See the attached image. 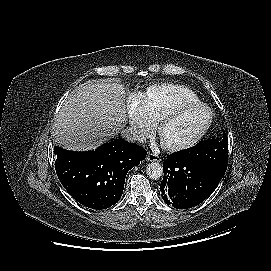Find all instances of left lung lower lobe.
Instances as JSON below:
<instances>
[{
    "mask_svg": "<svg viewBox=\"0 0 271 271\" xmlns=\"http://www.w3.org/2000/svg\"><path fill=\"white\" fill-rule=\"evenodd\" d=\"M163 170L161 196L166 204L178 209L191 208L203 202L225 173L179 151L167 157Z\"/></svg>",
    "mask_w": 271,
    "mask_h": 271,
    "instance_id": "left-lung-lower-lobe-1",
    "label": "left lung lower lobe"
}]
</instances>
